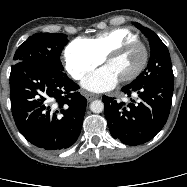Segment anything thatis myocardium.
<instances>
[{
    "label": "myocardium",
    "instance_id": "myocardium-1",
    "mask_svg": "<svg viewBox=\"0 0 187 187\" xmlns=\"http://www.w3.org/2000/svg\"><path fill=\"white\" fill-rule=\"evenodd\" d=\"M136 45H139L143 48V51H144L143 60H142L141 64L139 65V67L133 73L120 79L121 82H131V81L135 80L136 78H138L142 74V72L145 70V68L148 64V61H149V49H148V46L146 45V43L140 39L125 41V42L119 44L118 46H116L115 48H113L112 50H110L104 57V61H105V63H107L110 59L119 57L127 49H129L132 46H136Z\"/></svg>",
    "mask_w": 187,
    "mask_h": 187
}]
</instances>
